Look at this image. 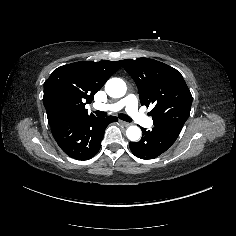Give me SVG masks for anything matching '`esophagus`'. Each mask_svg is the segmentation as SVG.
Wrapping results in <instances>:
<instances>
[{"instance_id":"obj_1","label":"esophagus","mask_w":236,"mask_h":236,"mask_svg":"<svg viewBox=\"0 0 236 236\" xmlns=\"http://www.w3.org/2000/svg\"><path fill=\"white\" fill-rule=\"evenodd\" d=\"M119 123H121L122 125H124L126 127L130 126V123H127V122L122 121V120H119Z\"/></svg>"}]
</instances>
